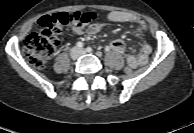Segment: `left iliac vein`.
<instances>
[{
  "instance_id": "1",
  "label": "left iliac vein",
  "mask_w": 194,
  "mask_h": 133,
  "mask_svg": "<svg viewBox=\"0 0 194 133\" xmlns=\"http://www.w3.org/2000/svg\"><path fill=\"white\" fill-rule=\"evenodd\" d=\"M87 52H88V51L85 50V49H81V50H80V54H82V55H83V54H86Z\"/></svg>"
}]
</instances>
